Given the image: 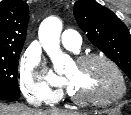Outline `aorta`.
Here are the masks:
<instances>
[{
	"label": "aorta",
	"mask_w": 131,
	"mask_h": 115,
	"mask_svg": "<svg viewBox=\"0 0 131 115\" xmlns=\"http://www.w3.org/2000/svg\"><path fill=\"white\" fill-rule=\"evenodd\" d=\"M62 22L56 17L46 18L39 28V40L49 55L56 72H63L67 56L60 49Z\"/></svg>",
	"instance_id": "aorta-1"
}]
</instances>
